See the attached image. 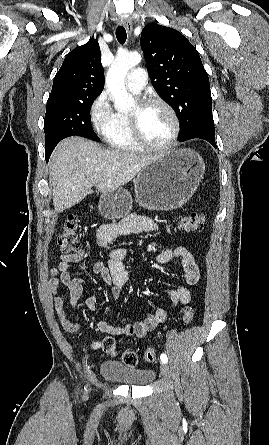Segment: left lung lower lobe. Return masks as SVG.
I'll return each instance as SVG.
<instances>
[{
  "label": "left lung lower lobe",
  "mask_w": 269,
  "mask_h": 445,
  "mask_svg": "<svg viewBox=\"0 0 269 445\" xmlns=\"http://www.w3.org/2000/svg\"><path fill=\"white\" fill-rule=\"evenodd\" d=\"M194 138H200L208 141L216 148L215 135H197ZM192 139V138H191Z\"/></svg>",
  "instance_id": "1"
}]
</instances>
